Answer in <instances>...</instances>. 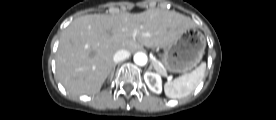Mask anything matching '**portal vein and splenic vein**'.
<instances>
[{"instance_id": "1", "label": "portal vein and splenic vein", "mask_w": 276, "mask_h": 120, "mask_svg": "<svg viewBox=\"0 0 276 120\" xmlns=\"http://www.w3.org/2000/svg\"><path fill=\"white\" fill-rule=\"evenodd\" d=\"M133 35H136V31H134Z\"/></svg>"}]
</instances>
